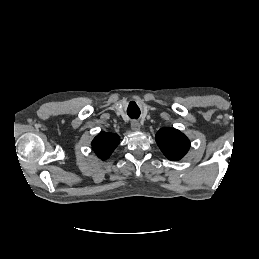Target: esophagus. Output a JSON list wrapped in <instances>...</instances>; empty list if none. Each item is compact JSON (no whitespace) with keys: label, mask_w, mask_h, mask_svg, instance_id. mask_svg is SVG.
Here are the masks:
<instances>
[{"label":"esophagus","mask_w":259,"mask_h":259,"mask_svg":"<svg viewBox=\"0 0 259 259\" xmlns=\"http://www.w3.org/2000/svg\"><path fill=\"white\" fill-rule=\"evenodd\" d=\"M131 128L133 131H139L140 130V123L137 120H133L131 122Z\"/></svg>","instance_id":"esophagus-1"}]
</instances>
